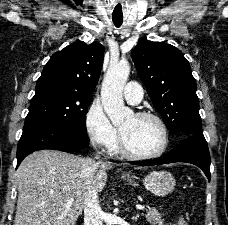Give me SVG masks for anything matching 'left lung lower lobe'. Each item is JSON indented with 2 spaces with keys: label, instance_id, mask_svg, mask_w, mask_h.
I'll list each match as a JSON object with an SVG mask.
<instances>
[{
  "label": "left lung lower lobe",
  "instance_id": "0a47b994",
  "mask_svg": "<svg viewBox=\"0 0 228 225\" xmlns=\"http://www.w3.org/2000/svg\"><path fill=\"white\" fill-rule=\"evenodd\" d=\"M174 162H185L197 165L210 181V154L204 136L190 135L167 154L146 161H130L134 165H161Z\"/></svg>",
  "mask_w": 228,
  "mask_h": 225
}]
</instances>
